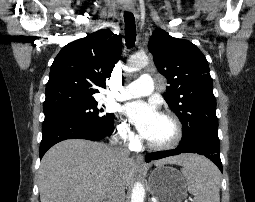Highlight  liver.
Here are the masks:
<instances>
[{
    "instance_id": "1",
    "label": "liver",
    "mask_w": 255,
    "mask_h": 202,
    "mask_svg": "<svg viewBox=\"0 0 255 202\" xmlns=\"http://www.w3.org/2000/svg\"><path fill=\"white\" fill-rule=\"evenodd\" d=\"M194 155L182 154L154 161L156 166H184ZM135 172L133 159L119 157L101 142L68 139L51 147L41 160V202H102L111 181L130 185Z\"/></svg>"
}]
</instances>
